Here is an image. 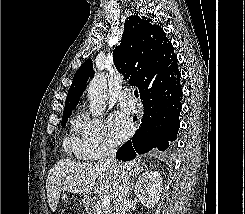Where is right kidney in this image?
Here are the masks:
<instances>
[{
    "label": "right kidney",
    "instance_id": "obj_1",
    "mask_svg": "<svg viewBox=\"0 0 245 214\" xmlns=\"http://www.w3.org/2000/svg\"><path fill=\"white\" fill-rule=\"evenodd\" d=\"M162 177L157 171H146L135 185V194L147 208H153L160 199L162 192Z\"/></svg>",
    "mask_w": 245,
    "mask_h": 214
}]
</instances>
